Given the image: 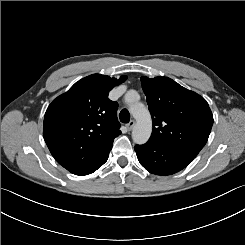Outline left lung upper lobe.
<instances>
[{
  "label": "left lung upper lobe",
  "mask_w": 245,
  "mask_h": 245,
  "mask_svg": "<svg viewBox=\"0 0 245 245\" xmlns=\"http://www.w3.org/2000/svg\"><path fill=\"white\" fill-rule=\"evenodd\" d=\"M141 82L153 121L149 141L193 160L206 144L213 125L207 101L167 77L142 76Z\"/></svg>",
  "instance_id": "1"
}]
</instances>
